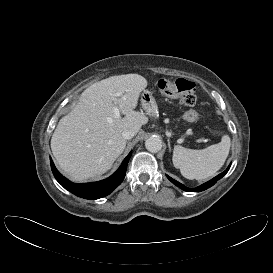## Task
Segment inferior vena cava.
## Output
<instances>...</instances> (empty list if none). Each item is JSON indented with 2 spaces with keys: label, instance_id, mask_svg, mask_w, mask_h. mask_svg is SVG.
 <instances>
[{
  "label": "inferior vena cava",
  "instance_id": "obj_1",
  "mask_svg": "<svg viewBox=\"0 0 273 273\" xmlns=\"http://www.w3.org/2000/svg\"><path fill=\"white\" fill-rule=\"evenodd\" d=\"M134 135H135V132L133 130H125L122 132V137L126 140L133 138Z\"/></svg>",
  "mask_w": 273,
  "mask_h": 273
}]
</instances>
